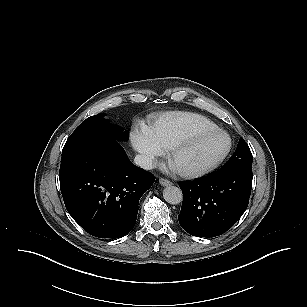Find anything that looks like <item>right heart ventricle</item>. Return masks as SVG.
Here are the masks:
<instances>
[{
	"label": "right heart ventricle",
	"mask_w": 307,
	"mask_h": 307,
	"mask_svg": "<svg viewBox=\"0 0 307 307\" xmlns=\"http://www.w3.org/2000/svg\"><path fill=\"white\" fill-rule=\"evenodd\" d=\"M214 128H217V125L205 116L192 112L171 111L152 120L146 130L163 149H167L193 133Z\"/></svg>",
	"instance_id": "1"
}]
</instances>
